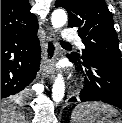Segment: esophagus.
Instances as JSON below:
<instances>
[{
    "mask_svg": "<svg viewBox=\"0 0 122 123\" xmlns=\"http://www.w3.org/2000/svg\"><path fill=\"white\" fill-rule=\"evenodd\" d=\"M57 56V42L55 32L51 27H47L45 48L41 64L42 74L49 78H55L54 64Z\"/></svg>",
    "mask_w": 122,
    "mask_h": 123,
    "instance_id": "34e87169",
    "label": "esophagus"
}]
</instances>
